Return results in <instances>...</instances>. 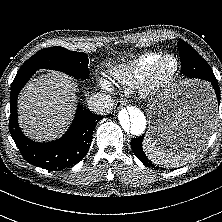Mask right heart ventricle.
I'll return each mask as SVG.
<instances>
[{
	"label": "right heart ventricle",
	"mask_w": 222,
	"mask_h": 222,
	"mask_svg": "<svg viewBox=\"0 0 222 222\" xmlns=\"http://www.w3.org/2000/svg\"><path fill=\"white\" fill-rule=\"evenodd\" d=\"M162 56L159 52H148L140 55L128 64L111 70V79L123 83H138L144 81L153 63Z\"/></svg>",
	"instance_id": "1"
}]
</instances>
